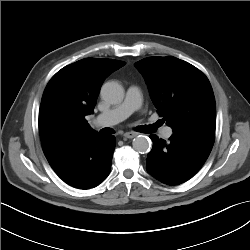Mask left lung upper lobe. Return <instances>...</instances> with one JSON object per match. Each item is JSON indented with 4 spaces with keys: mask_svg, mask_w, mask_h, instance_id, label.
Listing matches in <instances>:
<instances>
[{
    "mask_svg": "<svg viewBox=\"0 0 250 250\" xmlns=\"http://www.w3.org/2000/svg\"><path fill=\"white\" fill-rule=\"evenodd\" d=\"M160 117L173 132L215 135V98L207 77L178 58L148 57L136 63Z\"/></svg>",
    "mask_w": 250,
    "mask_h": 250,
    "instance_id": "1",
    "label": "left lung upper lobe"
}]
</instances>
